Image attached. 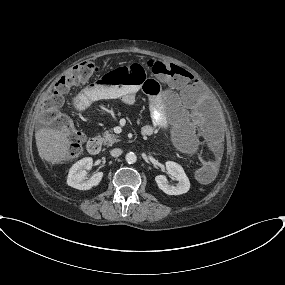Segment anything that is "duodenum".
Returning a JSON list of instances; mask_svg holds the SVG:
<instances>
[{
  "label": "duodenum",
  "instance_id": "duodenum-1",
  "mask_svg": "<svg viewBox=\"0 0 285 285\" xmlns=\"http://www.w3.org/2000/svg\"><path fill=\"white\" fill-rule=\"evenodd\" d=\"M102 148V140L99 136L92 137L87 144V149L91 154H98Z\"/></svg>",
  "mask_w": 285,
  "mask_h": 285
}]
</instances>
